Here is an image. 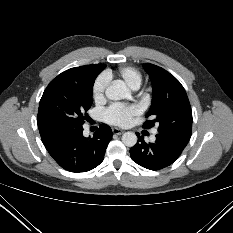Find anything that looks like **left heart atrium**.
I'll list each match as a JSON object with an SVG mask.
<instances>
[{"instance_id":"obj_1","label":"left heart atrium","mask_w":233,"mask_h":233,"mask_svg":"<svg viewBox=\"0 0 233 233\" xmlns=\"http://www.w3.org/2000/svg\"><path fill=\"white\" fill-rule=\"evenodd\" d=\"M139 112L140 108L137 105L126 106L115 103L105 111V119L109 124L126 127Z\"/></svg>"}]
</instances>
